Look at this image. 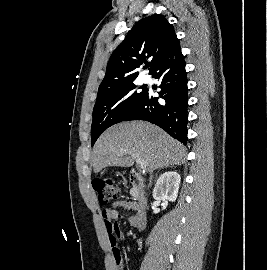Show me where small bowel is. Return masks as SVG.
Here are the masks:
<instances>
[{
  "label": "small bowel",
  "instance_id": "obj_1",
  "mask_svg": "<svg viewBox=\"0 0 267 270\" xmlns=\"http://www.w3.org/2000/svg\"><path fill=\"white\" fill-rule=\"evenodd\" d=\"M118 207L136 212L134 215L130 216L129 218V224L133 226L135 229L142 232L146 228V217L144 213L140 211L139 207L135 203L126 201V200H122V201H118L114 203L112 209H108L103 212L105 227L109 235V241L111 245L114 247V252H115V245H116L117 240L120 237H122V232L120 228L118 227V225L114 223V220L120 217V214L117 210ZM116 265H117V262H116Z\"/></svg>",
  "mask_w": 267,
  "mask_h": 270
}]
</instances>
